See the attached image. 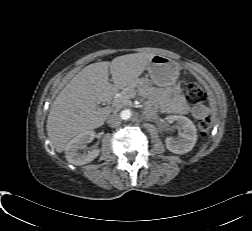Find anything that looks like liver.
<instances>
[{
	"instance_id": "liver-1",
	"label": "liver",
	"mask_w": 252,
	"mask_h": 231,
	"mask_svg": "<svg viewBox=\"0 0 252 231\" xmlns=\"http://www.w3.org/2000/svg\"><path fill=\"white\" fill-rule=\"evenodd\" d=\"M154 54L134 53L119 56L83 68L58 94L47 119V135L57 152L65 150L68 141L85 131L98 128L110 114L100 108L119 90L131 92L138 77L147 70ZM109 71L113 84L109 82Z\"/></svg>"
}]
</instances>
